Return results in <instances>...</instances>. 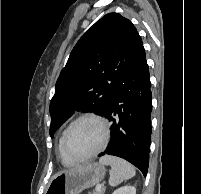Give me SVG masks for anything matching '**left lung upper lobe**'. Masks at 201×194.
Here are the masks:
<instances>
[{
	"mask_svg": "<svg viewBox=\"0 0 201 194\" xmlns=\"http://www.w3.org/2000/svg\"><path fill=\"white\" fill-rule=\"evenodd\" d=\"M132 22L108 13L77 42L56 82L50 102V136L75 111L103 115L142 48Z\"/></svg>",
	"mask_w": 201,
	"mask_h": 194,
	"instance_id": "obj_1",
	"label": "left lung upper lobe"
}]
</instances>
